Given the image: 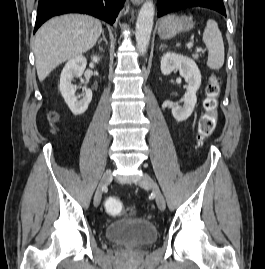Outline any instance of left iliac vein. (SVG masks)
<instances>
[{"label": "left iliac vein", "mask_w": 265, "mask_h": 269, "mask_svg": "<svg viewBox=\"0 0 265 269\" xmlns=\"http://www.w3.org/2000/svg\"><path fill=\"white\" fill-rule=\"evenodd\" d=\"M138 185L142 188H149L155 193L156 204L161 211L165 210V199L157 185V183L147 173H143L138 181Z\"/></svg>", "instance_id": "1"}]
</instances>
